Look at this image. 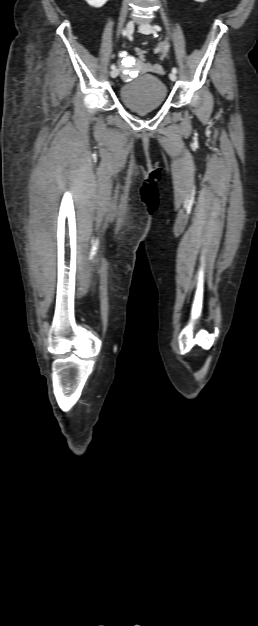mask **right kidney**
<instances>
[{"mask_svg": "<svg viewBox=\"0 0 258 626\" xmlns=\"http://www.w3.org/2000/svg\"><path fill=\"white\" fill-rule=\"evenodd\" d=\"M90 6L95 8L102 7L108 0H85Z\"/></svg>", "mask_w": 258, "mask_h": 626, "instance_id": "1", "label": "right kidney"}]
</instances>
